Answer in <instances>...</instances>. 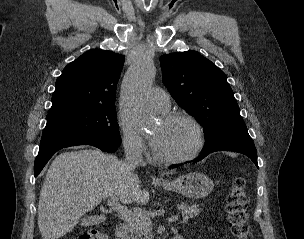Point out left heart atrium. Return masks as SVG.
<instances>
[{
  "label": "left heart atrium",
  "instance_id": "39dd6f15",
  "mask_svg": "<svg viewBox=\"0 0 304 239\" xmlns=\"http://www.w3.org/2000/svg\"><path fill=\"white\" fill-rule=\"evenodd\" d=\"M157 143H158L157 138H156V137H153V138H152V145H153L154 149L156 148Z\"/></svg>",
  "mask_w": 304,
  "mask_h": 239
}]
</instances>
